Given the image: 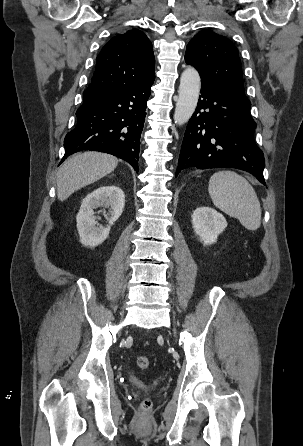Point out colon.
Wrapping results in <instances>:
<instances>
[{
  "label": "colon",
  "instance_id": "1",
  "mask_svg": "<svg viewBox=\"0 0 303 446\" xmlns=\"http://www.w3.org/2000/svg\"><path fill=\"white\" fill-rule=\"evenodd\" d=\"M136 363H137L138 368L141 369V370H147L150 367V365H151L150 359L147 356H144V355L138 356L137 359H136ZM151 406H152V404H151V401L149 399H145L141 403V409L145 413L150 411Z\"/></svg>",
  "mask_w": 303,
  "mask_h": 446
}]
</instances>
